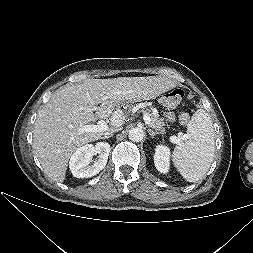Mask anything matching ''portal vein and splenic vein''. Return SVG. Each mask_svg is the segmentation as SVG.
Segmentation results:
<instances>
[{
    "mask_svg": "<svg viewBox=\"0 0 253 253\" xmlns=\"http://www.w3.org/2000/svg\"><path fill=\"white\" fill-rule=\"evenodd\" d=\"M95 109V107H93ZM119 118L118 114L113 115V119ZM143 119L145 120V123L147 125H150L151 119L150 116L146 113L143 116ZM108 129V125L104 120L98 121L96 125H84L78 128V131L80 133H96V132H103ZM180 137V138H179ZM179 137L177 136H171L170 141L172 143H178L181 138H184L185 136L180 133Z\"/></svg>",
    "mask_w": 253,
    "mask_h": 253,
    "instance_id": "portal-vein-and-splenic-vein-1",
    "label": "portal vein and splenic vein"
}]
</instances>
